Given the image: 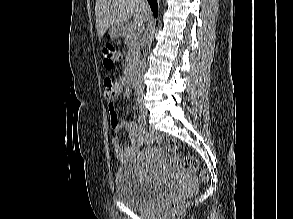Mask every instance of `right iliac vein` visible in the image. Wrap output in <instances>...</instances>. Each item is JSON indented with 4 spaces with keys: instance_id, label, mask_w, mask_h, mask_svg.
Returning <instances> with one entry per match:
<instances>
[{
    "instance_id": "right-iliac-vein-1",
    "label": "right iliac vein",
    "mask_w": 293,
    "mask_h": 219,
    "mask_svg": "<svg viewBox=\"0 0 293 219\" xmlns=\"http://www.w3.org/2000/svg\"><path fill=\"white\" fill-rule=\"evenodd\" d=\"M139 109L141 112V116H143L144 118L147 116V109L145 108V106L143 105L142 102L139 103Z\"/></svg>"
}]
</instances>
